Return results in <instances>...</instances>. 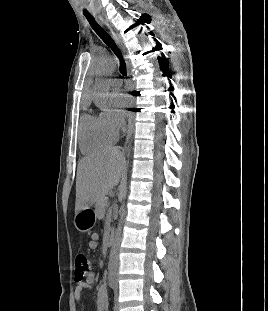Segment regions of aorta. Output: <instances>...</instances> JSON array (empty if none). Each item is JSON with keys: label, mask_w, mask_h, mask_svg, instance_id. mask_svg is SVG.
I'll return each instance as SVG.
<instances>
[{"label": "aorta", "mask_w": 268, "mask_h": 311, "mask_svg": "<svg viewBox=\"0 0 268 311\" xmlns=\"http://www.w3.org/2000/svg\"><path fill=\"white\" fill-rule=\"evenodd\" d=\"M116 69V61L109 57L104 60L99 61L97 64L94 65L93 70L94 72L99 76V78L96 80L94 91L98 97L101 98V101L99 104H104V100L108 96V86L105 83L103 76L111 74ZM127 194V186L126 183H123L121 186V195L122 200H125ZM125 215V204L122 202L120 209H119V222L118 226L115 230V235L109 255V263H108V270L111 277H116L117 270H118V264H119V256L118 251L120 247L121 242V233H122V222Z\"/></svg>", "instance_id": "aorta-1"}]
</instances>
